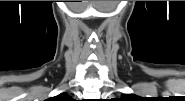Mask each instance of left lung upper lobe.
<instances>
[{
  "instance_id": "left-lung-upper-lobe-1",
  "label": "left lung upper lobe",
  "mask_w": 185,
  "mask_h": 101,
  "mask_svg": "<svg viewBox=\"0 0 185 101\" xmlns=\"http://www.w3.org/2000/svg\"><path fill=\"white\" fill-rule=\"evenodd\" d=\"M122 99L131 100V99H135V96L127 94V95H123Z\"/></svg>"
}]
</instances>
